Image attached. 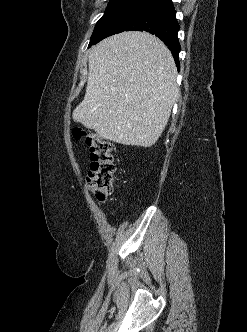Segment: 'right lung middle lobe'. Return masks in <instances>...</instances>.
Segmentation results:
<instances>
[{"label":"right lung middle lobe","mask_w":247,"mask_h":332,"mask_svg":"<svg viewBox=\"0 0 247 332\" xmlns=\"http://www.w3.org/2000/svg\"><path fill=\"white\" fill-rule=\"evenodd\" d=\"M147 2L148 1L145 0H110L105 14L99 19L95 26L89 47L98 43L101 34L112 23Z\"/></svg>","instance_id":"dd1d6c3e"}]
</instances>
